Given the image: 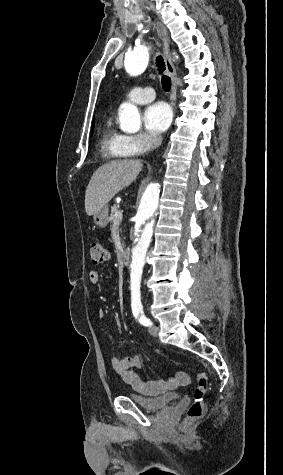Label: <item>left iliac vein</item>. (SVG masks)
<instances>
[{"mask_svg":"<svg viewBox=\"0 0 283 475\" xmlns=\"http://www.w3.org/2000/svg\"><path fill=\"white\" fill-rule=\"evenodd\" d=\"M150 335L156 337L158 335L159 328L156 326H150L148 329Z\"/></svg>","mask_w":283,"mask_h":475,"instance_id":"obj_1","label":"left iliac vein"}]
</instances>
